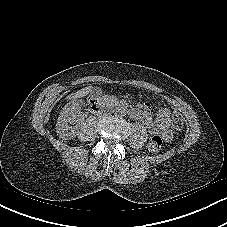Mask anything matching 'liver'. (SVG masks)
Returning <instances> with one entry per match:
<instances>
[{
  "label": "liver",
  "mask_w": 227,
  "mask_h": 227,
  "mask_svg": "<svg viewBox=\"0 0 227 227\" xmlns=\"http://www.w3.org/2000/svg\"><path fill=\"white\" fill-rule=\"evenodd\" d=\"M90 89H91L90 87L86 88L87 91H89Z\"/></svg>",
  "instance_id": "liver-1"
}]
</instances>
